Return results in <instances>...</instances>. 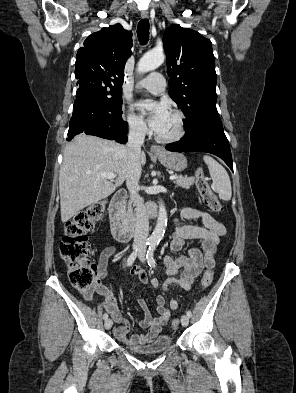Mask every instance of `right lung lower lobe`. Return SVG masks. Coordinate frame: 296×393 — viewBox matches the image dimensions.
Masks as SVG:
<instances>
[{"instance_id": "obj_1", "label": "right lung lower lobe", "mask_w": 296, "mask_h": 393, "mask_svg": "<svg viewBox=\"0 0 296 393\" xmlns=\"http://www.w3.org/2000/svg\"><path fill=\"white\" fill-rule=\"evenodd\" d=\"M70 119L67 141L80 133L127 142V123L95 98L78 89Z\"/></svg>"}]
</instances>
